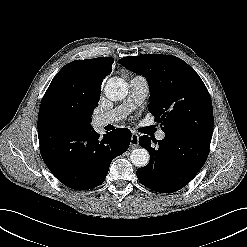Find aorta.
Wrapping results in <instances>:
<instances>
[{
  "mask_svg": "<svg viewBox=\"0 0 247 247\" xmlns=\"http://www.w3.org/2000/svg\"><path fill=\"white\" fill-rule=\"evenodd\" d=\"M104 92L106 97L111 101L122 100L128 94L127 82L121 78L112 77L106 82ZM130 159L133 165L140 168L148 164L150 155L146 149L137 148L131 152Z\"/></svg>",
  "mask_w": 247,
  "mask_h": 247,
  "instance_id": "aorta-1",
  "label": "aorta"
}]
</instances>
